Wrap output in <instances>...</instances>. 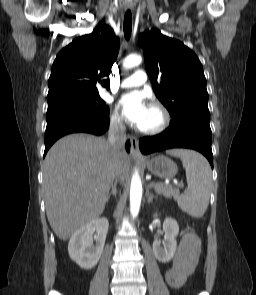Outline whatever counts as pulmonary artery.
Listing matches in <instances>:
<instances>
[{"label": "pulmonary artery", "mask_w": 256, "mask_h": 295, "mask_svg": "<svg viewBox=\"0 0 256 295\" xmlns=\"http://www.w3.org/2000/svg\"><path fill=\"white\" fill-rule=\"evenodd\" d=\"M147 81L146 72L142 69H137L132 75L121 81V88L138 87L145 84Z\"/></svg>", "instance_id": "e3ab8cb5"}]
</instances>
